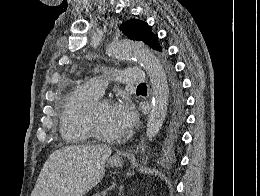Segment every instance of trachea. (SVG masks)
I'll list each match as a JSON object with an SVG mask.
<instances>
[{
    "instance_id": "trachea-1",
    "label": "trachea",
    "mask_w": 260,
    "mask_h": 196,
    "mask_svg": "<svg viewBox=\"0 0 260 196\" xmlns=\"http://www.w3.org/2000/svg\"><path fill=\"white\" fill-rule=\"evenodd\" d=\"M137 88H147L146 83H140Z\"/></svg>"
}]
</instances>
